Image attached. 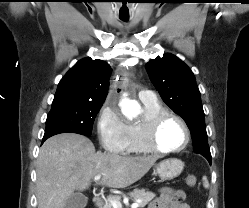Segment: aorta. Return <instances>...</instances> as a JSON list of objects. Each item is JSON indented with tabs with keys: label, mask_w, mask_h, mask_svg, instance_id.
<instances>
[{
	"label": "aorta",
	"mask_w": 249,
	"mask_h": 208,
	"mask_svg": "<svg viewBox=\"0 0 249 208\" xmlns=\"http://www.w3.org/2000/svg\"><path fill=\"white\" fill-rule=\"evenodd\" d=\"M121 108L123 114L131 118L132 116H136L140 111V105L135 100L123 99L121 102Z\"/></svg>",
	"instance_id": "762f6f07"
}]
</instances>
